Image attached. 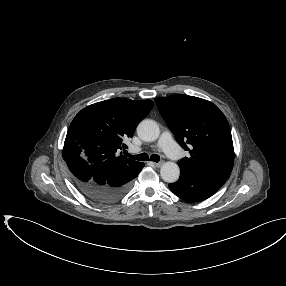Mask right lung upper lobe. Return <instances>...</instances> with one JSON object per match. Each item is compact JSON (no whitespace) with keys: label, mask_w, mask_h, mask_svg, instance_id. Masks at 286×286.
Wrapping results in <instances>:
<instances>
[{"label":"right lung upper lobe","mask_w":286,"mask_h":286,"mask_svg":"<svg viewBox=\"0 0 286 286\" xmlns=\"http://www.w3.org/2000/svg\"><path fill=\"white\" fill-rule=\"evenodd\" d=\"M153 106L152 100L123 98L87 106L70 124L64 142L63 158L75 155L100 180L128 173L140 162L118 153L122 147H126L123 140L133 136L136 126Z\"/></svg>","instance_id":"1"}]
</instances>
